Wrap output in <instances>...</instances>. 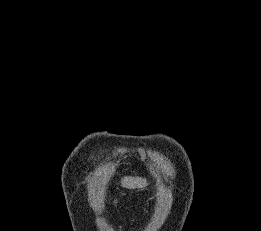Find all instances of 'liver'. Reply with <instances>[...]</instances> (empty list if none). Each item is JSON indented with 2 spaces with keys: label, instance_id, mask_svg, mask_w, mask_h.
Listing matches in <instances>:
<instances>
[{
  "label": "liver",
  "instance_id": "liver-1",
  "mask_svg": "<svg viewBox=\"0 0 261 231\" xmlns=\"http://www.w3.org/2000/svg\"><path fill=\"white\" fill-rule=\"evenodd\" d=\"M147 184L146 179L140 177H124L121 180V185L127 189L143 188Z\"/></svg>",
  "mask_w": 261,
  "mask_h": 231
}]
</instances>
